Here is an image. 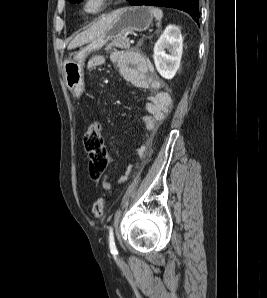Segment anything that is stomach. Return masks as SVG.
Returning <instances> with one entry per match:
<instances>
[{"instance_id":"0dacf381","label":"stomach","mask_w":267,"mask_h":298,"mask_svg":"<svg viewBox=\"0 0 267 298\" xmlns=\"http://www.w3.org/2000/svg\"><path fill=\"white\" fill-rule=\"evenodd\" d=\"M115 14V19L104 33L97 36L64 61L63 68L66 85L76 96H80L84 91L83 66L84 60L89 53L102 48L113 38L120 37L127 32L147 30L153 20V14L145 6L121 8L115 11Z\"/></svg>"}]
</instances>
